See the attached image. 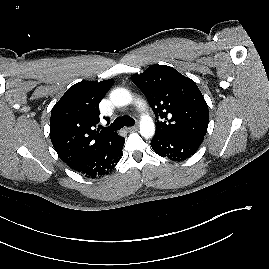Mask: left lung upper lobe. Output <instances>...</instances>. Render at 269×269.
<instances>
[{"mask_svg":"<svg viewBox=\"0 0 269 269\" xmlns=\"http://www.w3.org/2000/svg\"><path fill=\"white\" fill-rule=\"evenodd\" d=\"M132 80L156 114V133L205 136L208 106L193 80L166 65H152L142 74L132 75Z\"/></svg>","mask_w":269,"mask_h":269,"instance_id":"1","label":"left lung upper lobe"}]
</instances>
